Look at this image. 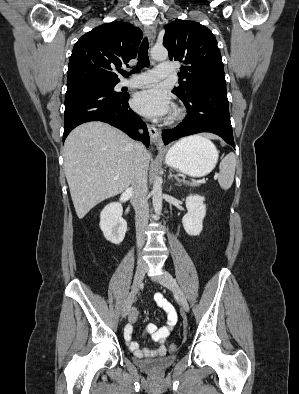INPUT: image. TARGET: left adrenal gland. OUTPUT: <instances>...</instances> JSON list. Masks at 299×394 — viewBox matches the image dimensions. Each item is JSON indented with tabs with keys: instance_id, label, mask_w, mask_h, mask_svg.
Here are the masks:
<instances>
[{
	"instance_id": "1",
	"label": "left adrenal gland",
	"mask_w": 299,
	"mask_h": 394,
	"mask_svg": "<svg viewBox=\"0 0 299 394\" xmlns=\"http://www.w3.org/2000/svg\"><path fill=\"white\" fill-rule=\"evenodd\" d=\"M173 178L176 179L177 182H180V179L177 176L173 175L171 171H169L168 179H173Z\"/></svg>"
}]
</instances>
